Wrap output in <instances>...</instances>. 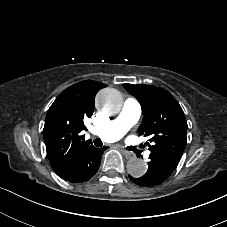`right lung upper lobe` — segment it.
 Returning <instances> with one entry per match:
<instances>
[{
	"label": "right lung upper lobe",
	"mask_w": 227,
	"mask_h": 227,
	"mask_svg": "<svg viewBox=\"0 0 227 227\" xmlns=\"http://www.w3.org/2000/svg\"><path fill=\"white\" fill-rule=\"evenodd\" d=\"M106 86L97 81H81L65 89L49 108L43 136L56 174L62 173L76 155L92 145L80 132L87 130L83 120L94 111L96 93Z\"/></svg>",
	"instance_id": "1"
}]
</instances>
